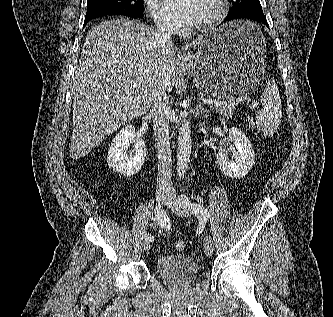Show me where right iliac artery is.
<instances>
[{
  "mask_svg": "<svg viewBox=\"0 0 333 317\" xmlns=\"http://www.w3.org/2000/svg\"><path fill=\"white\" fill-rule=\"evenodd\" d=\"M155 219L157 223L160 225V227L170 230L171 223L168 215L164 210L160 208V205L156 207L155 209ZM145 239L149 241H154V236L151 234H145Z\"/></svg>",
  "mask_w": 333,
  "mask_h": 317,
  "instance_id": "obj_1",
  "label": "right iliac artery"
}]
</instances>
